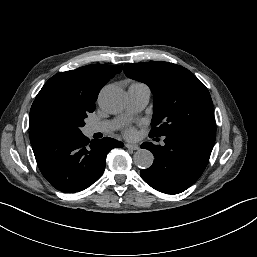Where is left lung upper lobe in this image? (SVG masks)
<instances>
[{
  "instance_id": "left-lung-upper-lobe-1",
  "label": "left lung upper lobe",
  "mask_w": 257,
  "mask_h": 257,
  "mask_svg": "<svg viewBox=\"0 0 257 257\" xmlns=\"http://www.w3.org/2000/svg\"><path fill=\"white\" fill-rule=\"evenodd\" d=\"M125 74L147 84L154 94L150 137L185 129L215 128L208 89L189 70L168 62L125 64Z\"/></svg>"
}]
</instances>
